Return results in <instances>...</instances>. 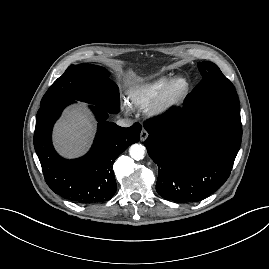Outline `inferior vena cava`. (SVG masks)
<instances>
[{
  "label": "inferior vena cava",
  "instance_id": "obj_1",
  "mask_svg": "<svg viewBox=\"0 0 269 269\" xmlns=\"http://www.w3.org/2000/svg\"><path fill=\"white\" fill-rule=\"evenodd\" d=\"M116 123L121 127H130L133 124V121L131 119L125 118L118 119Z\"/></svg>",
  "mask_w": 269,
  "mask_h": 269
}]
</instances>
